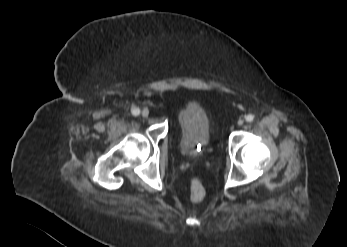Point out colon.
<instances>
[{"instance_id":"1","label":"colon","mask_w":347,"mask_h":247,"mask_svg":"<svg viewBox=\"0 0 347 247\" xmlns=\"http://www.w3.org/2000/svg\"><path fill=\"white\" fill-rule=\"evenodd\" d=\"M206 191L202 182L194 179L190 185V199L194 202H200L205 198Z\"/></svg>"}]
</instances>
